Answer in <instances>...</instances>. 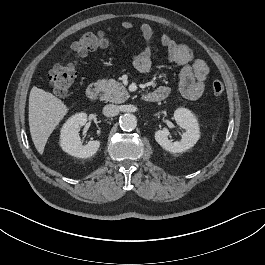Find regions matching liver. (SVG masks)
I'll list each match as a JSON object with an SVG mask.
<instances>
[{"label":"liver","instance_id":"6515ba94","mask_svg":"<svg viewBox=\"0 0 265 265\" xmlns=\"http://www.w3.org/2000/svg\"><path fill=\"white\" fill-rule=\"evenodd\" d=\"M67 112L64 102L52 93L32 87L29 95V127L39 154H43L48 138Z\"/></svg>","mask_w":265,"mask_h":265}]
</instances>
